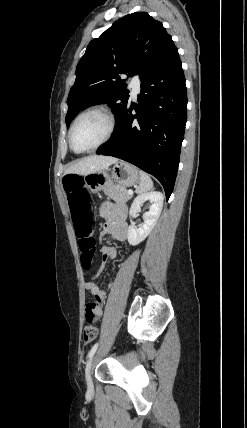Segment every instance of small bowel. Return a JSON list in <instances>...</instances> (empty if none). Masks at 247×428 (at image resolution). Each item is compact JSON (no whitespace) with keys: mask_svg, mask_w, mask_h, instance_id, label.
Instances as JSON below:
<instances>
[{"mask_svg":"<svg viewBox=\"0 0 247 428\" xmlns=\"http://www.w3.org/2000/svg\"><path fill=\"white\" fill-rule=\"evenodd\" d=\"M100 213L107 221L106 230L111 236L117 241L125 242L128 238L125 207L115 205L111 202H105L101 205ZM100 255L103 263H106L108 260L116 258L117 251L112 246L104 245L100 249ZM85 289L89 291L94 298H101L103 301L106 298V292L95 283H85Z\"/></svg>","mask_w":247,"mask_h":428,"instance_id":"1","label":"small bowel"}]
</instances>
